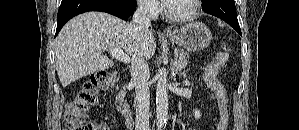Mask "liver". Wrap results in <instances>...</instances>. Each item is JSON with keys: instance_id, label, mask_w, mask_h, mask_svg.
Wrapping results in <instances>:
<instances>
[{"instance_id": "liver-1", "label": "liver", "mask_w": 299, "mask_h": 130, "mask_svg": "<svg viewBox=\"0 0 299 130\" xmlns=\"http://www.w3.org/2000/svg\"><path fill=\"white\" fill-rule=\"evenodd\" d=\"M123 49L132 57L151 59L156 42L149 29L104 12H86L71 19L55 41L56 70L63 87L114 65L103 52Z\"/></svg>"}]
</instances>
